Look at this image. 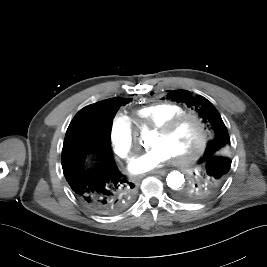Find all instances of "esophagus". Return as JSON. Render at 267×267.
Listing matches in <instances>:
<instances>
[{"mask_svg": "<svg viewBox=\"0 0 267 267\" xmlns=\"http://www.w3.org/2000/svg\"><path fill=\"white\" fill-rule=\"evenodd\" d=\"M151 173L164 175V174H166V170L152 171Z\"/></svg>", "mask_w": 267, "mask_h": 267, "instance_id": "esophagus-1", "label": "esophagus"}]
</instances>
